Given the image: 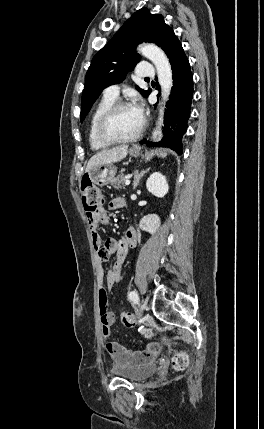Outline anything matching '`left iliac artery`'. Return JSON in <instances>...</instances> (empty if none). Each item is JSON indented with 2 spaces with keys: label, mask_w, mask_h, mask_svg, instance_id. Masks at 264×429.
Wrapping results in <instances>:
<instances>
[{
  "label": "left iliac artery",
  "mask_w": 264,
  "mask_h": 429,
  "mask_svg": "<svg viewBox=\"0 0 264 429\" xmlns=\"http://www.w3.org/2000/svg\"><path fill=\"white\" fill-rule=\"evenodd\" d=\"M134 292H136V291L129 292L128 297L130 300H132Z\"/></svg>",
  "instance_id": "1"
}]
</instances>
